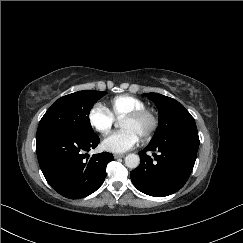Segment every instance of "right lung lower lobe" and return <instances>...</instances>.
Segmentation results:
<instances>
[{"instance_id": "98d812e1", "label": "right lung lower lobe", "mask_w": 243, "mask_h": 243, "mask_svg": "<svg viewBox=\"0 0 243 243\" xmlns=\"http://www.w3.org/2000/svg\"><path fill=\"white\" fill-rule=\"evenodd\" d=\"M99 137L48 132L36 136L40 168L50 186L66 198L78 199L96 191L106 177V166L113 160L108 152H88L99 144Z\"/></svg>"}]
</instances>
